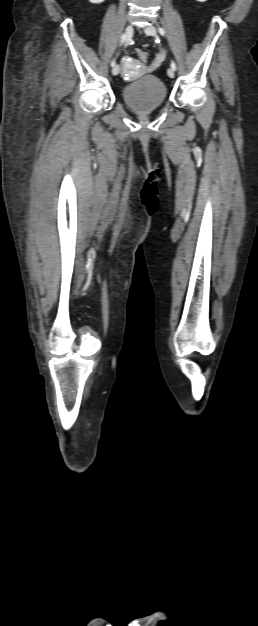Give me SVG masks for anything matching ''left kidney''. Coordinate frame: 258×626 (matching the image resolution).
<instances>
[{
  "label": "left kidney",
  "mask_w": 258,
  "mask_h": 626,
  "mask_svg": "<svg viewBox=\"0 0 258 626\" xmlns=\"http://www.w3.org/2000/svg\"><path fill=\"white\" fill-rule=\"evenodd\" d=\"M196 1H198V2H205V1H207V0H196Z\"/></svg>",
  "instance_id": "1"
}]
</instances>
